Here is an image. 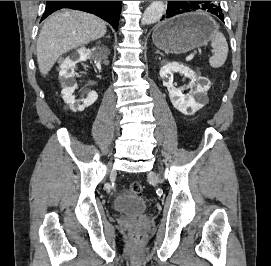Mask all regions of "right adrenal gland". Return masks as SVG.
Masks as SVG:
<instances>
[{
    "instance_id": "right-adrenal-gland-1",
    "label": "right adrenal gland",
    "mask_w": 271,
    "mask_h": 266,
    "mask_svg": "<svg viewBox=\"0 0 271 266\" xmlns=\"http://www.w3.org/2000/svg\"><path fill=\"white\" fill-rule=\"evenodd\" d=\"M106 38H110V35L106 36Z\"/></svg>"
}]
</instances>
